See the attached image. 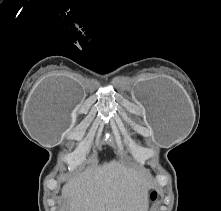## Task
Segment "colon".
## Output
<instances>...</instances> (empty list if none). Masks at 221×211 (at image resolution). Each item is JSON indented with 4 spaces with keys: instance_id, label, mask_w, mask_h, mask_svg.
<instances>
[{
    "instance_id": "1",
    "label": "colon",
    "mask_w": 221,
    "mask_h": 211,
    "mask_svg": "<svg viewBox=\"0 0 221 211\" xmlns=\"http://www.w3.org/2000/svg\"><path fill=\"white\" fill-rule=\"evenodd\" d=\"M156 197H157V193H156V192H153L152 195H151L152 200H155Z\"/></svg>"
}]
</instances>
